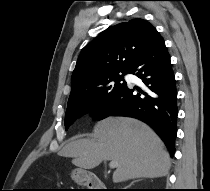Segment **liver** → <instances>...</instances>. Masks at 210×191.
I'll list each match as a JSON object with an SVG mask.
<instances>
[{
  "mask_svg": "<svg viewBox=\"0 0 210 191\" xmlns=\"http://www.w3.org/2000/svg\"><path fill=\"white\" fill-rule=\"evenodd\" d=\"M60 155L73 158L72 163L83 169H93L105 160L117 161L115 183L162 177L170 168V156L156 133L143 122L126 117L98 122L92 139L71 141Z\"/></svg>",
  "mask_w": 210,
  "mask_h": 191,
  "instance_id": "1",
  "label": "liver"
}]
</instances>
